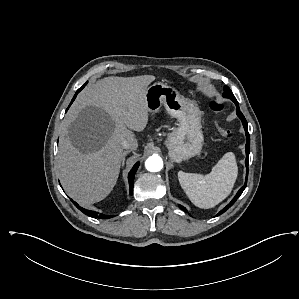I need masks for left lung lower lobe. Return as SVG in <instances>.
Returning a JSON list of instances; mask_svg holds the SVG:
<instances>
[{
	"label": "left lung lower lobe",
	"instance_id": "1",
	"mask_svg": "<svg viewBox=\"0 0 299 299\" xmlns=\"http://www.w3.org/2000/svg\"><path fill=\"white\" fill-rule=\"evenodd\" d=\"M235 104H236V112H237V115L238 117L241 119L242 121V124H243V127L245 129V133H246V146H245V149H246V160H245V164H246V167H247V171H248V163H249V153H250V136H249V132H248V127H247V121L244 117V115L242 114V112L240 111V108H239V104H238V101L236 99L232 100ZM247 182V181H246ZM246 182L244 184L243 187H241L239 189V191L237 192V194L235 195V197L232 199V201L222 210L220 211L216 217L220 214L223 213V211H225V209L229 208L238 198L239 196L243 193L244 189L246 188ZM179 207L181 209H183L184 211L186 210L183 206L179 205Z\"/></svg>",
	"mask_w": 299,
	"mask_h": 299
}]
</instances>
